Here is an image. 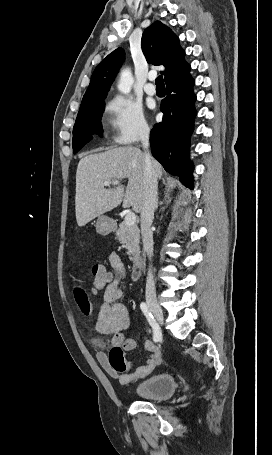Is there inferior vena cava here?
I'll list each match as a JSON object with an SVG mask.
<instances>
[{"label": "inferior vena cava", "instance_id": "obj_1", "mask_svg": "<svg viewBox=\"0 0 272 455\" xmlns=\"http://www.w3.org/2000/svg\"><path fill=\"white\" fill-rule=\"evenodd\" d=\"M142 146L145 151L144 154V195L141 207V234L144 251L148 258L151 260L153 256V233L151 225L154 219V211L157 202V174L154 168L151 156L148 152L149 147V129H145L141 135ZM146 296L155 297V283L151 267L149 268L146 280Z\"/></svg>", "mask_w": 272, "mask_h": 455}]
</instances>
